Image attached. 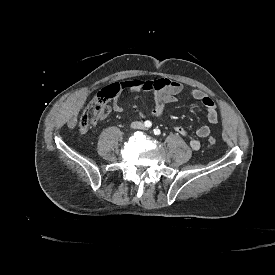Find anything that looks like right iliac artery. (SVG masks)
I'll use <instances>...</instances> for the list:
<instances>
[{
  "instance_id": "right-iliac-artery-1",
  "label": "right iliac artery",
  "mask_w": 275,
  "mask_h": 275,
  "mask_svg": "<svg viewBox=\"0 0 275 275\" xmlns=\"http://www.w3.org/2000/svg\"><path fill=\"white\" fill-rule=\"evenodd\" d=\"M144 125L146 128H150L152 126V123L149 120H147L144 122Z\"/></svg>"
}]
</instances>
